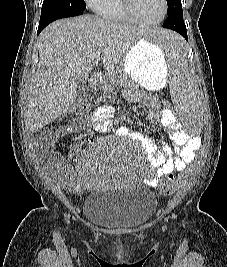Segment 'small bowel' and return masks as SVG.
I'll return each mask as SVG.
<instances>
[{
  "label": "small bowel",
  "mask_w": 227,
  "mask_h": 267,
  "mask_svg": "<svg viewBox=\"0 0 227 267\" xmlns=\"http://www.w3.org/2000/svg\"><path fill=\"white\" fill-rule=\"evenodd\" d=\"M112 116L113 109L111 106L101 105L97 107L92 116V129L96 133H107L112 127ZM149 116L152 121L160 123L169 131L172 141L177 146L176 149H173L168 143L157 144L144 135L131 133L126 129H119L118 133L139 141L149 163L156 169L155 174L147 179V183L157 186L160 179H162V173H173L182 170L193 161L196 151L201 146V141L198 136L189 135L181 129L178 117L171 109H159L154 106ZM79 129V126H68L65 129L52 133L50 138H56L59 134L73 133ZM86 143L87 141L83 140L79 145L83 146ZM63 173L69 186H86L89 178L86 173V165L84 164L76 169L63 167Z\"/></svg>",
  "instance_id": "small-bowel-1"
}]
</instances>
